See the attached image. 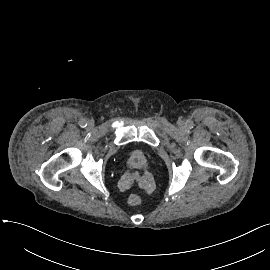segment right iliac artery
Wrapping results in <instances>:
<instances>
[{
    "label": "right iliac artery",
    "instance_id": "right-iliac-artery-1",
    "mask_svg": "<svg viewBox=\"0 0 270 270\" xmlns=\"http://www.w3.org/2000/svg\"><path fill=\"white\" fill-rule=\"evenodd\" d=\"M79 125H80L82 128H84V127L87 126V121L84 120V119H82V120L79 122Z\"/></svg>",
    "mask_w": 270,
    "mask_h": 270
}]
</instances>
